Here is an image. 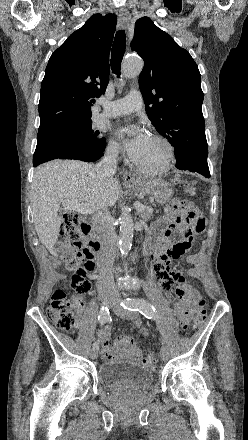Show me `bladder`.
<instances>
[{
    "mask_svg": "<svg viewBox=\"0 0 248 440\" xmlns=\"http://www.w3.org/2000/svg\"><path fill=\"white\" fill-rule=\"evenodd\" d=\"M97 379L112 390H144L152 385L154 370L135 361L112 359L98 366Z\"/></svg>",
    "mask_w": 248,
    "mask_h": 440,
    "instance_id": "31cf9c89",
    "label": "bladder"
}]
</instances>
